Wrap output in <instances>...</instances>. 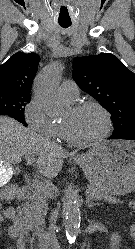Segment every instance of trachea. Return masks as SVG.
<instances>
[{
  "label": "trachea",
  "mask_w": 135,
  "mask_h": 249,
  "mask_svg": "<svg viewBox=\"0 0 135 249\" xmlns=\"http://www.w3.org/2000/svg\"><path fill=\"white\" fill-rule=\"evenodd\" d=\"M59 25L63 28H68L71 25V23L70 22H59Z\"/></svg>",
  "instance_id": "trachea-1"
}]
</instances>
